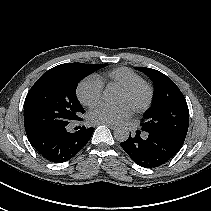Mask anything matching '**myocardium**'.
I'll list each match as a JSON object with an SVG mask.
<instances>
[{
    "instance_id": "myocardium-1",
    "label": "myocardium",
    "mask_w": 211,
    "mask_h": 211,
    "mask_svg": "<svg viewBox=\"0 0 211 211\" xmlns=\"http://www.w3.org/2000/svg\"><path fill=\"white\" fill-rule=\"evenodd\" d=\"M121 90L133 99L130 106L135 112L146 111L154 99L153 87L145 81L125 86ZM140 94H143V97L138 99Z\"/></svg>"
}]
</instances>
